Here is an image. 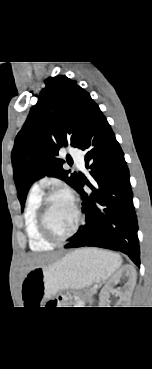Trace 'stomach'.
<instances>
[{"label":"stomach","instance_id":"1","mask_svg":"<svg viewBox=\"0 0 152 369\" xmlns=\"http://www.w3.org/2000/svg\"><path fill=\"white\" fill-rule=\"evenodd\" d=\"M120 264V256L112 252L95 248L73 251L54 263L29 270L22 281V297L38 304L63 289H82L105 280Z\"/></svg>","mask_w":152,"mask_h":369}]
</instances>
